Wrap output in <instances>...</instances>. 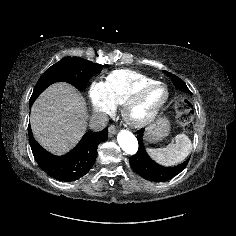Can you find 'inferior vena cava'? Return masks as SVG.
Segmentation results:
<instances>
[{
  "label": "inferior vena cava",
  "mask_w": 236,
  "mask_h": 236,
  "mask_svg": "<svg viewBox=\"0 0 236 236\" xmlns=\"http://www.w3.org/2000/svg\"><path fill=\"white\" fill-rule=\"evenodd\" d=\"M109 118L105 113L93 115L90 119V128L94 131L103 130L108 124Z\"/></svg>",
  "instance_id": "inferior-vena-cava-1"
}]
</instances>
